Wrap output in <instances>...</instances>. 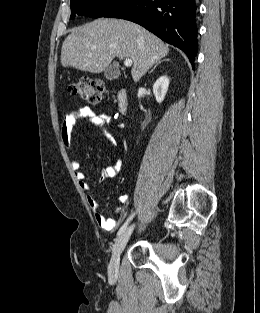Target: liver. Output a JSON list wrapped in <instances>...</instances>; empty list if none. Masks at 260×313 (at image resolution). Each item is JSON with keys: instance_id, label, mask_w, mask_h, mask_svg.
<instances>
[{"instance_id": "1", "label": "liver", "mask_w": 260, "mask_h": 313, "mask_svg": "<svg viewBox=\"0 0 260 313\" xmlns=\"http://www.w3.org/2000/svg\"><path fill=\"white\" fill-rule=\"evenodd\" d=\"M169 53V47L140 25L100 18L72 30L61 50L63 67L90 73L105 71L115 57L131 59L134 82Z\"/></svg>"}]
</instances>
